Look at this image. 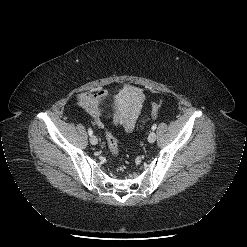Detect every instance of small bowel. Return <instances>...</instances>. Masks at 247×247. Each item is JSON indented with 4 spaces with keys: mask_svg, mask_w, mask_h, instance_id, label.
<instances>
[{
    "mask_svg": "<svg viewBox=\"0 0 247 247\" xmlns=\"http://www.w3.org/2000/svg\"><path fill=\"white\" fill-rule=\"evenodd\" d=\"M110 94L105 89L93 92H83L77 96L78 104L98 122L101 108L109 101Z\"/></svg>",
    "mask_w": 247,
    "mask_h": 247,
    "instance_id": "small-bowel-1",
    "label": "small bowel"
}]
</instances>
